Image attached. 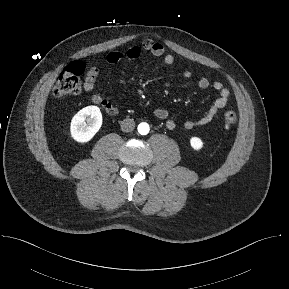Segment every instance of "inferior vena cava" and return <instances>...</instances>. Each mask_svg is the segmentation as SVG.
Returning a JSON list of instances; mask_svg holds the SVG:
<instances>
[{"instance_id":"1","label":"inferior vena cava","mask_w":289,"mask_h":289,"mask_svg":"<svg viewBox=\"0 0 289 289\" xmlns=\"http://www.w3.org/2000/svg\"><path fill=\"white\" fill-rule=\"evenodd\" d=\"M120 126L123 132H131L134 130L135 122L133 119H124Z\"/></svg>"}]
</instances>
